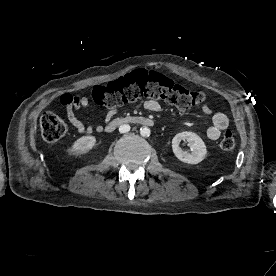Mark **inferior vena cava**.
Returning <instances> with one entry per match:
<instances>
[{"instance_id":"obj_1","label":"inferior vena cava","mask_w":276,"mask_h":276,"mask_svg":"<svg viewBox=\"0 0 276 276\" xmlns=\"http://www.w3.org/2000/svg\"><path fill=\"white\" fill-rule=\"evenodd\" d=\"M130 131V126L128 124H122L119 127V132L120 133H126Z\"/></svg>"}]
</instances>
